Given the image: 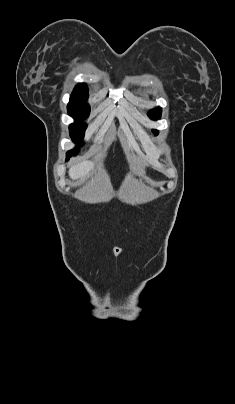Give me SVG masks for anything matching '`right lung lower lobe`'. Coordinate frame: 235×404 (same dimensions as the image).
I'll return each mask as SVG.
<instances>
[{
    "instance_id": "1",
    "label": "right lung lower lobe",
    "mask_w": 235,
    "mask_h": 404,
    "mask_svg": "<svg viewBox=\"0 0 235 404\" xmlns=\"http://www.w3.org/2000/svg\"><path fill=\"white\" fill-rule=\"evenodd\" d=\"M69 158H70V157H67V159H66V160H69Z\"/></svg>"
}]
</instances>
